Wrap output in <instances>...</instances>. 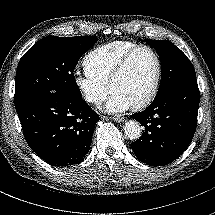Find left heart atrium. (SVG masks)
Listing matches in <instances>:
<instances>
[{
  "label": "left heart atrium",
  "mask_w": 215,
  "mask_h": 215,
  "mask_svg": "<svg viewBox=\"0 0 215 215\" xmlns=\"http://www.w3.org/2000/svg\"><path fill=\"white\" fill-rule=\"evenodd\" d=\"M131 107L130 101L117 92H111L108 102L105 106V111L109 113H122Z\"/></svg>",
  "instance_id": "left-heart-atrium-1"
}]
</instances>
